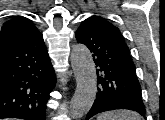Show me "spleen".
Wrapping results in <instances>:
<instances>
[{"label":"spleen","mask_w":165,"mask_h":120,"mask_svg":"<svg viewBox=\"0 0 165 120\" xmlns=\"http://www.w3.org/2000/svg\"><path fill=\"white\" fill-rule=\"evenodd\" d=\"M97 120H141L139 115L129 110L108 111L100 114Z\"/></svg>","instance_id":"3e777b00"}]
</instances>
